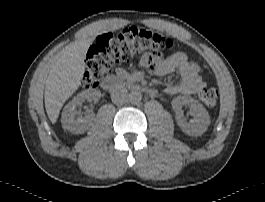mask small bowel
Returning a JSON list of instances; mask_svg holds the SVG:
<instances>
[{"label":"small bowel","instance_id":"small-bowel-1","mask_svg":"<svg viewBox=\"0 0 265 202\" xmlns=\"http://www.w3.org/2000/svg\"><path fill=\"white\" fill-rule=\"evenodd\" d=\"M178 70L180 82L166 89L168 95L195 94L205 87L202 80L201 68L183 52H177L167 58L157 57L151 73L158 77H166Z\"/></svg>","mask_w":265,"mask_h":202}]
</instances>
